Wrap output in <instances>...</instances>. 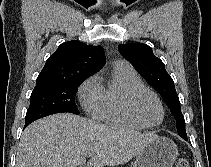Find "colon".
Listing matches in <instances>:
<instances>
[{
	"label": "colon",
	"instance_id": "5ec220e1",
	"mask_svg": "<svg viewBox=\"0 0 211 167\" xmlns=\"http://www.w3.org/2000/svg\"><path fill=\"white\" fill-rule=\"evenodd\" d=\"M175 167H191V164L188 159L183 158L177 162Z\"/></svg>",
	"mask_w": 211,
	"mask_h": 167
}]
</instances>
